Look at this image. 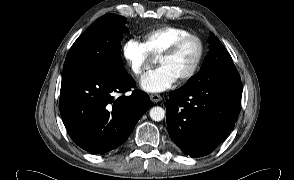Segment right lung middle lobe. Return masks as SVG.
Wrapping results in <instances>:
<instances>
[{
  "label": "right lung middle lobe",
  "mask_w": 294,
  "mask_h": 180,
  "mask_svg": "<svg viewBox=\"0 0 294 180\" xmlns=\"http://www.w3.org/2000/svg\"><path fill=\"white\" fill-rule=\"evenodd\" d=\"M126 23L125 17L116 14L98 18L70 48L62 78L86 72L128 75L120 54Z\"/></svg>",
  "instance_id": "obj_1"
}]
</instances>
